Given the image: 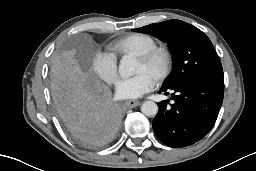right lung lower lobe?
I'll return each instance as SVG.
<instances>
[{
    "mask_svg": "<svg viewBox=\"0 0 256 171\" xmlns=\"http://www.w3.org/2000/svg\"><path fill=\"white\" fill-rule=\"evenodd\" d=\"M55 107L70 135L86 147L108 144L121 124L119 106L111 100L110 90L101 83L55 101Z\"/></svg>",
    "mask_w": 256,
    "mask_h": 171,
    "instance_id": "obj_1",
    "label": "right lung lower lobe"
}]
</instances>
